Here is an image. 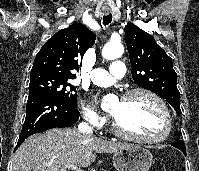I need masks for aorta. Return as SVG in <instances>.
<instances>
[{"label":"aorta","instance_id":"1","mask_svg":"<svg viewBox=\"0 0 199 171\" xmlns=\"http://www.w3.org/2000/svg\"><path fill=\"white\" fill-rule=\"evenodd\" d=\"M124 52V47L121 43H107L103 50H102V56L107 60H113L116 58H119ZM113 96L107 95L103 98L101 106L103 108H107L112 101Z\"/></svg>","mask_w":199,"mask_h":171}]
</instances>
